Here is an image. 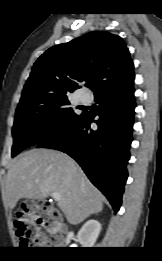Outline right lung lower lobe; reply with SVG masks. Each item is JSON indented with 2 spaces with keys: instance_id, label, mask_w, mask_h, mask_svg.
Returning a JSON list of instances; mask_svg holds the SVG:
<instances>
[{
  "instance_id": "obj_1",
  "label": "right lung lower lobe",
  "mask_w": 162,
  "mask_h": 261,
  "mask_svg": "<svg viewBox=\"0 0 162 261\" xmlns=\"http://www.w3.org/2000/svg\"><path fill=\"white\" fill-rule=\"evenodd\" d=\"M133 84L96 97L97 130L90 128L92 117L84 113L68 127L37 144L67 153L82 167L90 181L108 198L116 213L128 177L127 163L134 123Z\"/></svg>"
}]
</instances>
